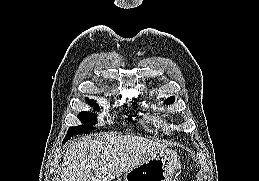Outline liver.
Returning a JSON list of instances; mask_svg holds the SVG:
<instances>
[{"instance_id":"obj_1","label":"liver","mask_w":259,"mask_h":181,"mask_svg":"<svg viewBox=\"0 0 259 181\" xmlns=\"http://www.w3.org/2000/svg\"><path fill=\"white\" fill-rule=\"evenodd\" d=\"M164 150L158 142L132 135L74 140L63 157L61 181H112Z\"/></svg>"}]
</instances>
